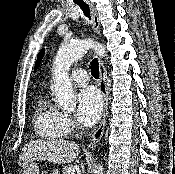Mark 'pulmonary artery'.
Listing matches in <instances>:
<instances>
[{
    "instance_id": "pulmonary-artery-1",
    "label": "pulmonary artery",
    "mask_w": 175,
    "mask_h": 174,
    "mask_svg": "<svg viewBox=\"0 0 175 174\" xmlns=\"http://www.w3.org/2000/svg\"><path fill=\"white\" fill-rule=\"evenodd\" d=\"M71 81L77 85H85L88 82V75L85 70L77 69L71 73Z\"/></svg>"
}]
</instances>
